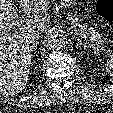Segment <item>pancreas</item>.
Here are the masks:
<instances>
[{"mask_svg":"<svg viewBox=\"0 0 113 113\" xmlns=\"http://www.w3.org/2000/svg\"><path fill=\"white\" fill-rule=\"evenodd\" d=\"M67 18L73 28L77 30V32H79L82 38L86 39V42L88 44L92 45L95 48L99 47V44L102 42V36L99 33L95 32L92 27H88V25L82 23L79 16H77L73 12H69Z\"/></svg>","mask_w":113,"mask_h":113,"instance_id":"cf45deb5","label":"pancreas"}]
</instances>
